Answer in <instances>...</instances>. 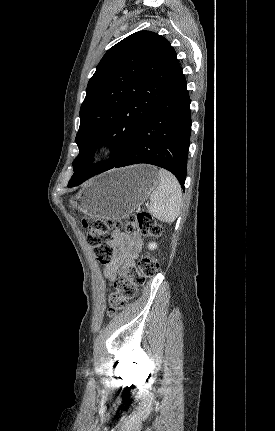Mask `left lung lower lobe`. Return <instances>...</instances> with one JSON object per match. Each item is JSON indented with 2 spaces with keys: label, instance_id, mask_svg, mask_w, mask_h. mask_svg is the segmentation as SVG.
Here are the masks:
<instances>
[{
  "label": "left lung lower lobe",
  "instance_id": "obj_1",
  "mask_svg": "<svg viewBox=\"0 0 275 431\" xmlns=\"http://www.w3.org/2000/svg\"><path fill=\"white\" fill-rule=\"evenodd\" d=\"M186 85L179 65L167 91L124 154L101 172L138 163L152 164L172 172L184 190L192 124ZM90 177L93 176L76 174L69 181L68 187L80 185Z\"/></svg>",
  "mask_w": 275,
  "mask_h": 431
}]
</instances>
